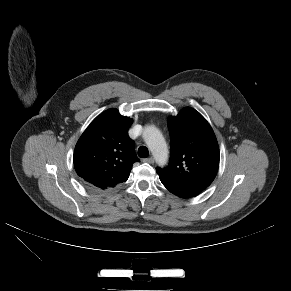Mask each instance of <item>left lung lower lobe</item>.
<instances>
[{
  "instance_id": "left-lung-lower-lobe-1",
  "label": "left lung lower lobe",
  "mask_w": 291,
  "mask_h": 291,
  "mask_svg": "<svg viewBox=\"0 0 291 291\" xmlns=\"http://www.w3.org/2000/svg\"><path fill=\"white\" fill-rule=\"evenodd\" d=\"M158 175L160 177V181L166 187V189L178 197L191 198L201 193V190L199 189L174 181L164 175Z\"/></svg>"
}]
</instances>
